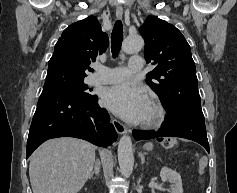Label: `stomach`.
Masks as SVG:
<instances>
[{
  "mask_svg": "<svg viewBox=\"0 0 237 193\" xmlns=\"http://www.w3.org/2000/svg\"><path fill=\"white\" fill-rule=\"evenodd\" d=\"M144 148H145L147 151H149V150H152L153 146H152L151 143H147V144H145Z\"/></svg>",
  "mask_w": 237,
  "mask_h": 193,
  "instance_id": "obj_1",
  "label": "stomach"
}]
</instances>
